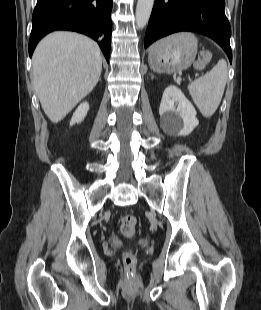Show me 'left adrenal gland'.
I'll return each mask as SVG.
<instances>
[{"mask_svg": "<svg viewBox=\"0 0 261 310\" xmlns=\"http://www.w3.org/2000/svg\"><path fill=\"white\" fill-rule=\"evenodd\" d=\"M151 75V78L153 79L154 78V75L153 74H150Z\"/></svg>", "mask_w": 261, "mask_h": 310, "instance_id": "obj_1", "label": "left adrenal gland"}]
</instances>
